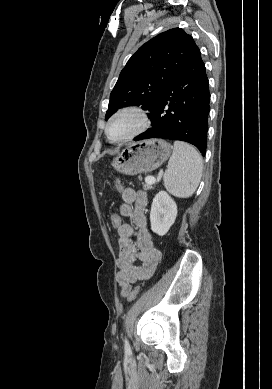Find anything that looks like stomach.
Returning <instances> with one entry per match:
<instances>
[{
	"label": "stomach",
	"instance_id": "1",
	"mask_svg": "<svg viewBox=\"0 0 272 389\" xmlns=\"http://www.w3.org/2000/svg\"><path fill=\"white\" fill-rule=\"evenodd\" d=\"M171 150V145L162 139L143 140L126 147L113 159L112 165L125 175L151 172L170 157Z\"/></svg>",
	"mask_w": 272,
	"mask_h": 389
}]
</instances>
